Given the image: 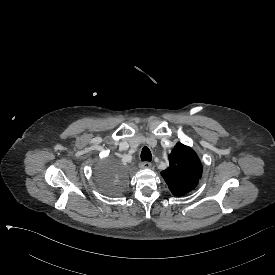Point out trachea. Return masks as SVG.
<instances>
[{
    "mask_svg": "<svg viewBox=\"0 0 275 275\" xmlns=\"http://www.w3.org/2000/svg\"><path fill=\"white\" fill-rule=\"evenodd\" d=\"M152 160V154L151 151L149 150L148 147H143L142 151H141V161L145 162L148 161L150 162Z\"/></svg>",
    "mask_w": 275,
    "mask_h": 275,
    "instance_id": "trachea-1",
    "label": "trachea"
}]
</instances>
